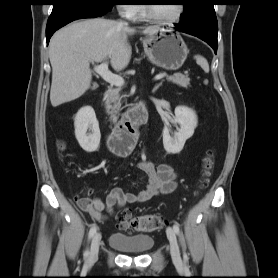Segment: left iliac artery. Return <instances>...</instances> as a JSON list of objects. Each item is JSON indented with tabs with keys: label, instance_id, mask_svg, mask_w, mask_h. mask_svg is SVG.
<instances>
[{
	"label": "left iliac artery",
	"instance_id": "1",
	"mask_svg": "<svg viewBox=\"0 0 278 278\" xmlns=\"http://www.w3.org/2000/svg\"><path fill=\"white\" fill-rule=\"evenodd\" d=\"M173 229H174V231H175L176 234H179V233H180V228H179V225H178L177 223H174Z\"/></svg>",
	"mask_w": 278,
	"mask_h": 278
}]
</instances>
